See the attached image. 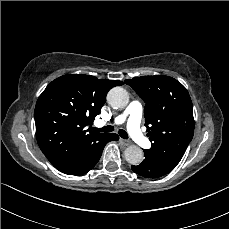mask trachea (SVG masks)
Returning <instances> with one entry per match:
<instances>
[{
  "label": "trachea",
  "mask_w": 229,
  "mask_h": 229,
  "mask_svg": "<svg viewBox=\"0 0 229 229\" xmlns=\"http://www.w3.org/2000/svg\"><path fill=\"white\" fill-rule=\"evenodd\" d=\"M93 130L97 131V132L110 133V132L114 131V126L108 125V126H105L102 128H93ZM118 134L120 135V137H122L124 139L128 138L127 132L123 129H119Z\"/></svg>",
  "instance_id": "1"
}]
</instances>
